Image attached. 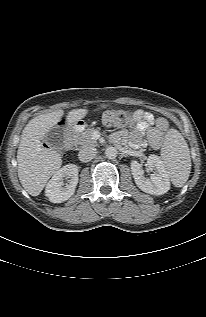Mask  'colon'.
<instances>
[{
	"label": "colon",
	"instance_id": "colon-1",
	"mask_svg": "<svg viewBox=\"0 0 206 317\" xmlns=\"http://www.w3.org/2000/svg\"><path fill=\"white\" fill-rule=\"evenodd\" d=\"M129 111L121 109L107 110L102 114V122L111 128H122L129 124L132 119Z\"/></svg>",
	"mask_w": 206,
	"mask_h": 317
}]
</instances>
